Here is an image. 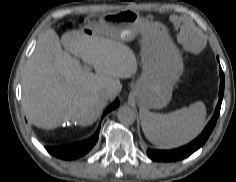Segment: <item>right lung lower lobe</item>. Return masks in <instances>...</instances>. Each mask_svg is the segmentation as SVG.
Masks as SVG:
<instances>
[{
  "label": "right lung lower lobe",
  "mask_w": 236,
  "mask_h": 182,
  "mask_svg": "<svg viewBox=\"0 0 236 182\" xmlns=\"http://www.w3.org/2000/svg\"><path fill=\"white\" fill-rule=\"evenodd\" d=\"M119 104V100L116 99L114 103L111 104L110 107L106 110L105 114L118 107ZM98 137L99 129L91 138L87 140L58 147H46V149L50 154L57 158L72 160L86 154L95 145Z\"/></svg>",
  "instance_id": "obj_1"
}]
</instances>
